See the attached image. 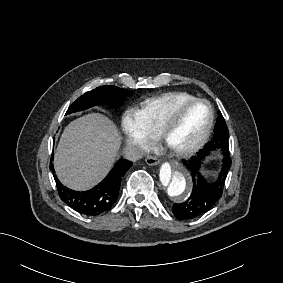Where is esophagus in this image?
<instances>
[{
  "label": "esophagus",
  "mask_w": 283,
  "mask_h": 283,
  "mask_svg": "<svg viewBox=\"0 0 283 283\" xmlns=\"http://www.w3.org/2000/svg\"><path fill=\"white\" fill-rule=\"evenodd\" d=\"M145 161L148 165H158L160 163L159 159L155 156H147Z\"/></svg>",
  "instance_id": "esophagus-1"
}]
</instances>
